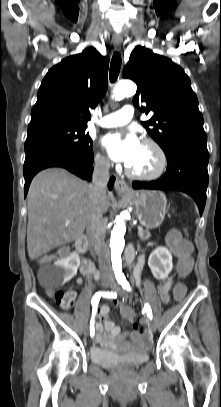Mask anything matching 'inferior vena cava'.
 <instances>
[{
  "mask_svg": "<svg viewBox=\"0 0 221 407\" xmlns=\"http://www.w3.org/2000/svg\"><path fill=\"white\" fill-rule=\"evenodd\" d=\"M110 164L103 160L95 162L93 181L90 185L91 200L94 205L93 216L86 226L89 242L98 255L99 268L103 275L111 273L110 252L105 244L104 235L99 230L103 215L102 204L106 199V187L109 181Z\"/></svg>",
  "mask_w": 221,
  "mask_h": 407,
  "instance_id": "obj_1",
  "label": "inferior vena cava"
}]
</instances>
